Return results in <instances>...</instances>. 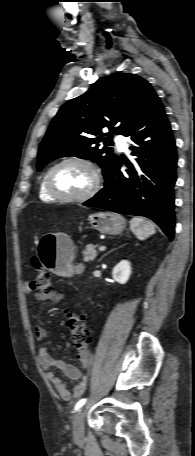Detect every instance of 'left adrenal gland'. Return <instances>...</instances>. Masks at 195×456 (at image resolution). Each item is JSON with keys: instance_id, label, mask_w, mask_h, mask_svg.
I'll list each match as a JSON object with an SVG mask.
<instances>
[{"instance_id": "a2214340", "label": "left adrenal gland", "mask_w": 195, "mask_h": 456, "mask_svg": "<svg viewBox=\"0 0 195 456\" xmlns=\"http://www.w3.org/2000/svg\"><path fill=\"white\" fill-rule=\"evenodd\" d=\"M112 251H113V250H112ZM110 252H111V251H110ZM110 252H108V253H110ZM108 253L104 254V255L101 257V259H102L104 256H106ZM101 259H100V260H101Z\"/></svg>"}]
</instances>
